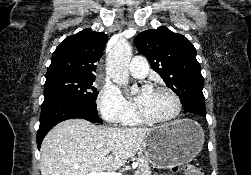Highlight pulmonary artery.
Listing matches in <instances>:
<instances>
[{"instance_id":"e3ab8cb5","label":"pulmonary artery","mask_w":251,"mask_h":175,"mask_svg":"<svg viewBox=\"0 0 251 175\" xmlns=\"http://www.w3.org/2000/svg\"><path fill=\"white\" fill-rule=\"evenodd\" d=\"M129 72L137 78L145 77L148 73L147 58H142V55H137V58H133V62L129 66Z\"/></svg>"}]
</instances>
